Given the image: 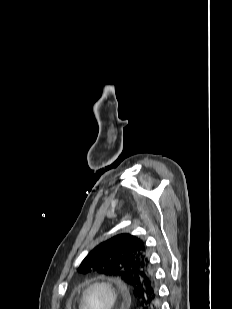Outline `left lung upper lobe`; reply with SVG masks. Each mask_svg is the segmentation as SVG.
<instances>
[{"mask_svg": "<svg viewBox=\"0 0 232 309\" xmlns=\"http://www.w3.org/2000/svg\"><path fill=\"white\" fill-rule=\"evenodd\" d=\"M79 273L120 277L134 298L145 300L155 285L144 242L131 234H119L96 246L82 261Z\"/></svg>", "mask_w": 232, "mask_h": 309, "instance_id": "left-lung-upper-lobe-1", "label": "left lung upper lobe"}]
</instances>
